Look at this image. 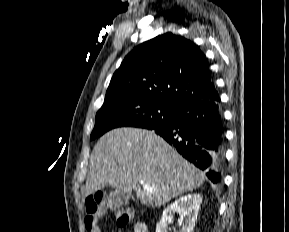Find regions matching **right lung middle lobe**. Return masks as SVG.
Segmentation results:
<instances>
[{
  "mask_svg": "<svg viewBox=\"0 0 289 232\" xmlns=\"http://www.w3.org/2000/svg\"><path fill=\"white\" fill-rule=\"evenodd\" d=\"M177 108L141 96L106 98L96 114L90 139L117 127L153 129L171 122Z\"/></svg>",
  "mask_w": 289,
  "mask_h": 232,
  "instance_id": "obj_1",
  "label": "right lung middle lobe"
}]
</instances>
